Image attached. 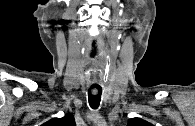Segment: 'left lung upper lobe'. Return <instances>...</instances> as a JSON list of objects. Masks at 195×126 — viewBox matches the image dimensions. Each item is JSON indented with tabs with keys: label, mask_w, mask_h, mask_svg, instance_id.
Returning a JSON list of instances; mask_svg holds the SVG:
<instances>
[{
	"label": "left lung upper lobe",
	"mask_w": 195,
	"mask_h": 126,
	"mask_svg": "<svg viewBox=\"0 0 195 126\" xmlns=\"http://www.w3.org/2000/svg\"><path fill=\"white\" fill-rule=\"evenodd\" d=\"M128 126H152V124L140 118H132L129 119Z\"/></svg>",
	"instance_id": "1"
}]
</instances>
